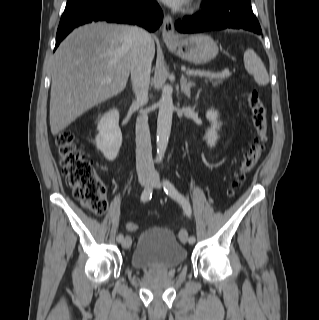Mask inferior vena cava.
I'll list each match as a JSON object with an SVG mask.
<instances>
[{
  "label": "inferior vena cava",
  "mask_w": 319,
  "mask_h": 320,
  "mask_svg": "<svg viewBox=\"0 0 319 320\" xmlns=\"http://www.w3.org/2000/svg\"><path fill=\"white\" fill-rule=\"evenodd\" d=\"M131 48V81L136 96V103L140 106L148 102V88L150 84L151 62L150 45L151 35L138 26L130 27ZM136 167L139 176H150L154 173L152 147L148 116L143 113L136 120Z\"/></svg>",
  "instance_id": "inferior-vena-cava-1"
}]
</instances>
